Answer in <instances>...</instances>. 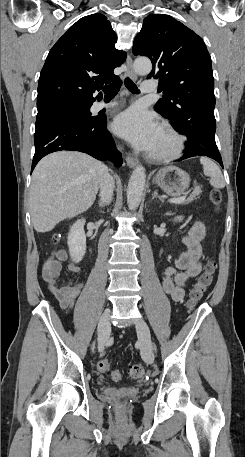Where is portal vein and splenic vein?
<instances>
[{
  "label": "portal vein and splenic vein",
  "instance_id": "1",
  "mask_svg": "<svg viewBox=\"0 0 245 457\" xmlns=\"http://www.w3.org/2000/svg\"><path fill=\"white\" fill-rule=\"evenodd\" d=\"M188 185H190V184H188ZM187 188H189V187H187ZM186 194H187V192H185L184 196H178V198H170V202H183V200H185V198H186Z\"/></svg>",
  "mask_w": 245,
  "mask_h": 457
}]
</instances>
